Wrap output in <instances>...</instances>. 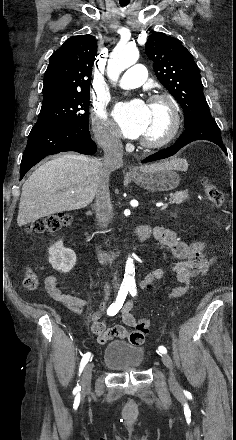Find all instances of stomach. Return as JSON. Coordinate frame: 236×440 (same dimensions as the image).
Segmentation results:
<instances>
[{
    "label": "stomach",
    "instance_id": "stomach-1",
    "mask_svg": "<svg viewBox=\"0 0 236 440\" xmlns=\"http://www.w3.org/2000/svg\"><path fill=\"white\" fill-rule=\"evenodd\" d=\"M186 168V161L181 160V167L179 169L159 167L135 173L131 179L134 183L148 191H169L175 189L180 183V176L176 170H185Z\"/></svg>",
    "mask_w": 236,
    "mask_h": 440
}]
</instances>
